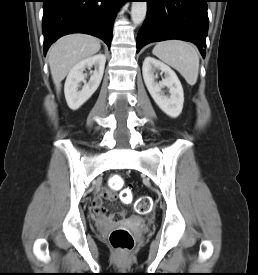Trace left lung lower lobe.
Wrapping results in <instances>:
<instances>
[{"label":"left lung lower lobe","mask_w":258,"mask_h":275,"mask_svg":"<svg viewBox=\"0 0 258 275\" xmlns=\"http://www.w3.org/2000/svg\"><path fill=\"white\" fill-rule=\"evenodd\" d=\"M146 19L138 32L137 52L148 43L180 39L196 44L205 56L208 0H146Z\"/></svg>","instance_id":"obj_1"}]
</instances>
